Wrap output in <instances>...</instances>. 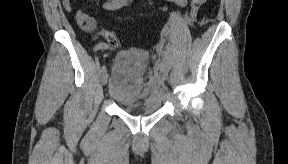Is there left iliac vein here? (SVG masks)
Wrapping results in <instances>:
<instances>
[{
  "label": "left iliac vein",
  "instance_id": "obj_1",
  "mask_svg": "<svg viewBox=\"0 0 288 164\" xmlns=\"http://www.w3.org/2000/svg\"><path fill=\"white\" fill-rule=\"evenodd\" d=\"M167 71H168V67H167L166 63H163V65H162V72H163V74L166 75V74H167Z\"/></svg>",
  "mask_w": 288,
  "mask_h": 164
}]
</instances>
